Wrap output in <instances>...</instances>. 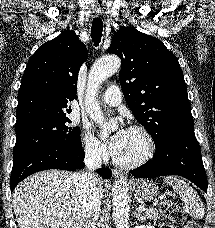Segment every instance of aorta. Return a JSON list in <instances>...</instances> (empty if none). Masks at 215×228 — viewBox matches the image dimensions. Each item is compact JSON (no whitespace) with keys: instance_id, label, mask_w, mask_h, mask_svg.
I'll return each instance as SVG.
<instances>
[{"instance_id":"1","label":"aorta","mask_w":215,"mask_h":228,"mask_svg":"<svg viewBox=\"0 0 215 228\" xmlns=\"http://www.w3.org/2000/svg\"><path fill=\"white\" fill-rule=\"evenodd\" d=\"M121 68V60L118 56H108V58H101L95 62L93 68L90 70L91 78L89 88L87 90L88 102H86L87 112L96 124L105 128L103 114H101L100 106L95 102V92L101 82L106 78H110L112 74L118 72ZM106 130V128H105ZM129 192L127 182L124 178L117 180L112 190V204H113V218L115 228H130L129 226Z\"/></svg>"}]
</instances>
